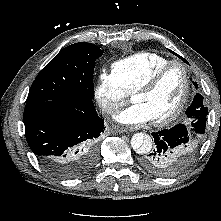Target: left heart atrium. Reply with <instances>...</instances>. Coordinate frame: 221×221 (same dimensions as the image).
Masks as SVG:
<instances>
[{
    "label": "left heart atrium",
    "instance_id": "39dd6f15",
    "mask_svg": "<svg viewBox=\"0 0 221 221\" xmlns=\"http://www.w3.org/2000/svg\"><path fill=\"white\" fill-rule=\"evenodd\" d=\"M115 120L121 124L137 126L152 121V117L143 105L135 103L119 112Z\"/></svg>",
    "mask_w": 221,
    "mask_h": 221
}]
</instances>
